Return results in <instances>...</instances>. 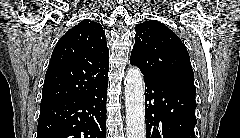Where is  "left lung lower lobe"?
<instances>
[{
  "label": "left lung lower lobe",
  "mask_w": 240,
  "mask_h": 138,
  "mask_svg": "<svg viewBox=\"0 0 240 138\" xmlns=\"http://www.w3.org/2000/svg\"><path fill=\"white\" fill-rule=\"evenodd\" d=\"M146 138H195L194 79L145 78Z\"/></svg>",
  "instance_id": "1"
}]
</instances>
